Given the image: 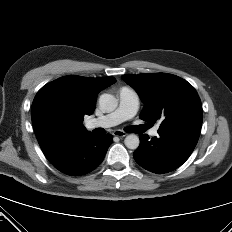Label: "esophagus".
I'll return each instance as SVG.
<instances>
[{"instance_id":"34e87169","label":"esophagus","mask_w":232,"mask_h":232,"mask_svg":"<svg viewBox=\"0 0 232 232\" xmlns=\"http://www.w3.org/2000/svg\"><path fill=\"white\" fill-rule=\"evenodd\" d=\"M113 135L122 138L125 137L127 134L122 130H114Z\"/></svg>"}]
</instances>
